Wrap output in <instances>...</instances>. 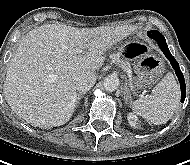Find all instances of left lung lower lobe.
I'll list each match as a JSON object with an SVG mask.
<instances>
[{
    "instance_id": "left-lung-lower-lobe-1",
    "label": "left lung lower lobe",
    "mask_w": 190,
    "mask_h": 165,
    "mask_svg": "<svg viewBox=\"0 0 190 165\" xmlns=\"http://www.w3.org/2000/svg\"><path fill=\"white\" fill-rule=\"evenodd\" d=\"M148 36L157 41V43H158L159 47L161 48V50L163 51L164 55L167 57V59L170 61L171 65H172V67L174 68L175 73H176V75L179 79V82H180L181 102L183 103L185 100V96H186V85H185L184 76H183V74L179 68L178 62L171 55V53L168 49V46L166 44L165 38L160 32H158V31H155L154 33L148 32Z\"/></svg>"
}]
</instances>
